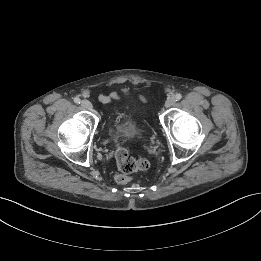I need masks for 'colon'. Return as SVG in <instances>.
Instances as JSON below:
<instances>
[{
	"label": "colon",
	"instance_id": "1",
	"mask_svg": "<svg viewBox=\"0 0 261 261\" xmlns=\"http://www.w3.org/2000/svg\"><path fill=\"white\" fill-rule=\"evenodd\" d=\"M115 159L119 173L115 175V180L119 184L129 182V175L137 171H145L149 168L150 163L147 159H135L124 148H118L115 152Z\"/></svg>",
	"mask_w": 261,
	"mask_h": 261
}]
</instances>
